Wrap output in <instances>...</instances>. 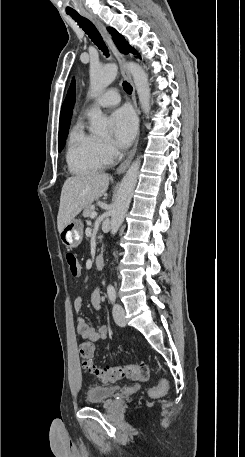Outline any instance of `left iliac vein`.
Instances as JSON below:
<instances>
[{
  "label": "left iliac vein",
  "instance_id": "obj_1",
  "mask_svg": "<svg viewBox=\"0 0 245 457\" xmlns=\"http://www.w3.org/2000/svg\"><path fill=\"white\" fill-rule=\"evenodd\" d=\"M112 313H113V318H114L115 322L119 326H124L125 325L124 308L120 304L116 303V304H114Z\"/></svg>",
  "mask_w": 245,
  "mask_h": 457
}]
</instances>
